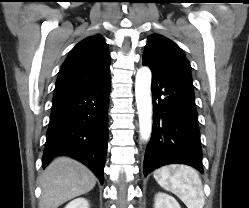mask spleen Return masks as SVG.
<instances>
[{
  "label": "spleen",
  "mask_w": 249,
  "mask_h": 208,
  "mask_svg": "<svg viewBox=\"0 0 249 208\" xmlns=\"http://www.w3.org/2000/svg\"><path fill=\"white\" fill-rule=\"evenodd\" d=\"M154 178L162 188L177 195L187 208H203L202 182L192 167L178 164L164 166L154 172Z\"/></svg>",
  "instance_id": "obj_1"
}]
</instances>
